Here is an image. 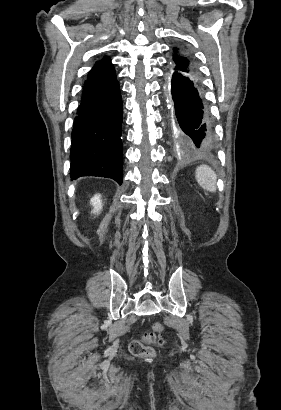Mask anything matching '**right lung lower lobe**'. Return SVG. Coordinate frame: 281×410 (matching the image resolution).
<instances>
[{"label": "right lung lower lobe", "instance_id": "1", "mask_svg": "<svg viewBox=\"0 0 281 410\" xmlns=\"http://www.w3.org/2000/svg\"><path fill=\"white\" fill-rule=\"evenodd\" d=\"M122 100L118 81L83 93L71 134V179H123Z\"/></svg>", "mask_w": 281, "mask_h": 410}]
</instances>
